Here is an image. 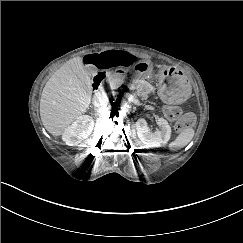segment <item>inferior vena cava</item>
I'll use <instances>...</instances> for the list:
<instances>
[{
	"mask_svg": "<svg viewBox=\"0 0 243 243\" xmlns=\"http://www.w3.org/2000/svg\"><path fill=\"white\" fill-rule=\"evenodd\" d=\"M108 97L106 93L96 92L93 96V104L95 106H102L107 104Z\"/></svg>",
	"mask_w": 243,
	"mask_h": 243,
	"instance_id": "inferior-vena-cava-1",
	"label": "inferior vena cava"
}]
</instances>
